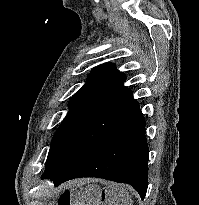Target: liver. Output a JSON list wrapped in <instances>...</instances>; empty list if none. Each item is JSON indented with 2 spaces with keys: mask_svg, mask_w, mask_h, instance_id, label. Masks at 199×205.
<instances>
[{
  "mask_svg": "<svg viewBox=\"0 0 199 205\" xmlns=\"http://www.w3.org/2000/svg\"><path fill=\"white\" fill-rule=\"evenodd\" d=\"M75 198L77 200L75 205H99L100 193L93 187H90L86 191L81 190V192H78V194L75 195ZM106 200H112L114 203L117 202L123 205L128 204L130 199L128 193L125 190H122L113 197L106 195Z\"/></svg>",
  "mask_w": 199,
  "mask_h": 205,
  "instance_id": "6515ba94",
  "label": "liver"
}]
</instances>
